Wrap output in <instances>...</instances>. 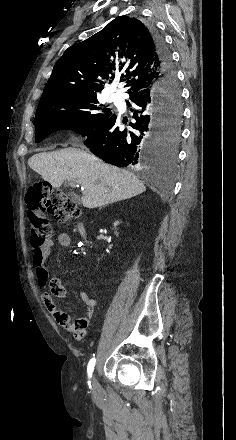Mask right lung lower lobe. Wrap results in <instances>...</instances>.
I'll list each match as a JSON object with an SVG mask.
<instances>
[{
    "mask_svg": "<svg viewBox=\"0 0 236 440\" xmlns=\"http://www.w3.org/2000/svg\"><path fill=\"white\" fill-rule=\"evenodd\" d=\"M148 28L156 46L161 74L155 84L129 94L128 106L135 120L129 124L131 129L120 128V119L112 114L96 127L81 133L92 153L118 167H145L160 157V134L168 118L167 111L176 103L164 96L167 89L178 88L171 55L163 37L153 26Z\"/></svg>",
    "mask_w": 236,
    "mask_h": 440,
    "instance_id": "obj_1",
    "label": "right lung lower lobe"
}]
</instances>
